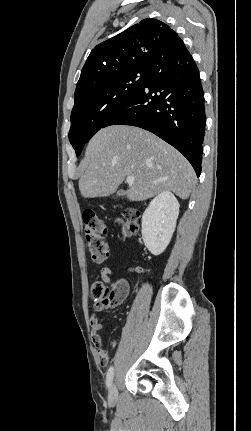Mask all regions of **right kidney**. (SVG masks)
<instances>
[{
    "label": "right kidney",
    "mask_w": 251,
    "mask_h": 431,
    "mask_svg": "<svg viewBox=\"0 0 251 431\" xmlns=\"http://www.w3.org/2000/svg\"><path fill=\"white\" fill-rule=\"evenodd\" d=\"M179 202L169 191L157 195L142 216V238L153 255H160L168 246L179 215Z\"/></svg>",
    "instance_id": "obj_1"
}]
</instances>
